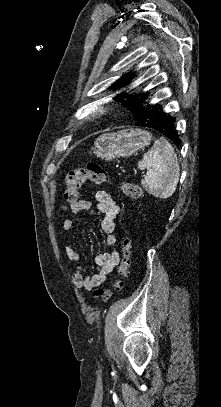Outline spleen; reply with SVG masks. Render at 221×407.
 <instances>
[{"mask_svg":"<svg viewBox=\"0 0 221 407\" xmlns=\"http://www.w3.org/2000/svg\"><path fill=\"white\" fill-rule=\"evenodd\" d=\"M138 168L147 169L141 185L149 194L166 199L175 192L180 166L174 148L164 137L155 140L152 148L144 153Z\"/></svg>","mask_w":221,"mask_h":407,"instance_id":"1","label":"spleen"}]
</instances>
